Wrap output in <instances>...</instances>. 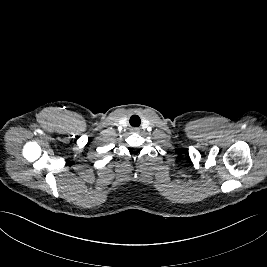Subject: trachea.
Segmentation results:
<instances>
[{
    "label": "trachea",
    "instance_id": "trachea-1",
    "mask_svg": "<svg viewBox=\"0 0 267 267\" xmlns=\"http://www.w3.org/2000/svg\"><path fill=\"white\" fill-rule=\"evenodd\" d=\"M130 124L132 126H139L140 125V118L137 116V115H133L131 118H130Z\"/></svg>",
    "mask_w": 267,
    "mask_h": 267
}]
</instances>
